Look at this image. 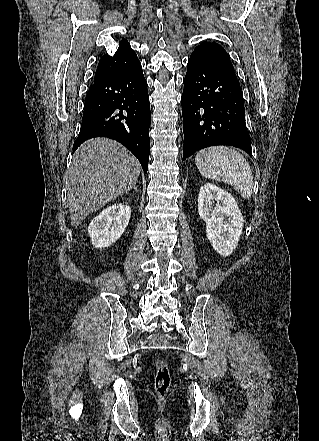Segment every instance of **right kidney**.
Here are the masks:
<instances>
[{"label": "right kidney", "instance_id": "right-kidney-1", "mask_svg": "<svg viewBox=\"0 0 319 441\" xmlns=\"http://www.w3.org/2000/svg\"><path fill=\"white\" fill-rule=\"evenodd\" d=\"M131 217L128 205L117 203L96 216L88 227V234L95 248H106L124 233Z\"/></svg>", "mask_w": 319, "mask_h": 441}]
</instances>
